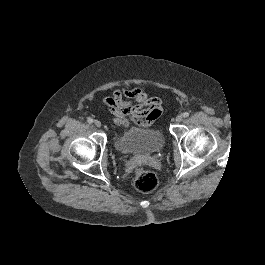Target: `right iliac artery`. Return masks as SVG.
<instances>
[{"label":"right iliac artery","mask_w":265,"mask_h":265,"mask_svg":"<svg viewBox=\"0 0 265 265\" xmlns=\"http://www.w3.org/2000/svg\"><path fill=\"white\" fill-rule=\"evenodd\" d=\"M87 122L91 124V123H93V119L89 117V118H87Z\"/></svg>","instance_id":"82829eb1"}]
</instances>
